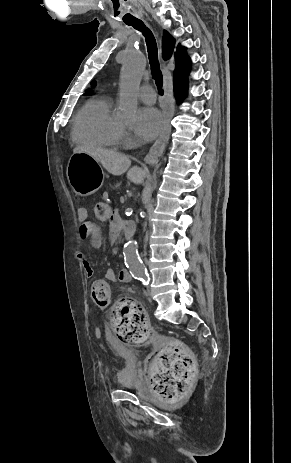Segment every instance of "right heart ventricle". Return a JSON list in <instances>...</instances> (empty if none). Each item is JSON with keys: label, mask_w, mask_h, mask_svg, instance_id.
<instances>
[{"label": "right heart ventricle", "mask_w": 291, "mask_h": 463, "mask_svg": "<svg viewBox=\"0 0 291 463\" xmlns=\"http://www.w3.org/2000/svg\"><path fill=\"white\" fill-rule=\"evenodd\" d=\"M111 98L88 101L73 122L72 137L80 145L94 148H114L119 142L120 124L111 113Z\"/></svg>", "instance_id": "e07e8e85"}]
</instances>
